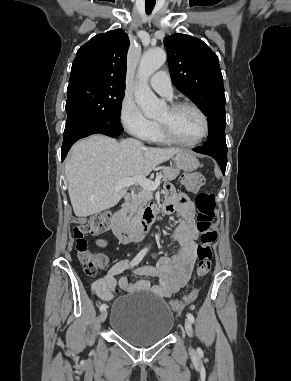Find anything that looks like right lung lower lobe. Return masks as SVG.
<instances>
[{
  "instance_id": "1",
  "label": "right lung lower lobe",
  "mask_w": 291,
  "mask_h": 381,
  "mask_svg": "<svg viewBox=\"0 0 291 381\" xmlns=\"http://www.w3.org/2000/svg\"><path fill=\"white\" fill-rule=\"evenodd\" d=\"M78 128L79 127L77 124L72 123L68 127L69 132L64 134L63 144L61 149L62 161L65 159L71 146L77 140L81 138H84L91 134H96V133L104 134L110 137H116L123 132V128L120 122L102 123V124H98L91 128H88L86 130H81V131H79Z\"/></svg>"
}]
</instances>
